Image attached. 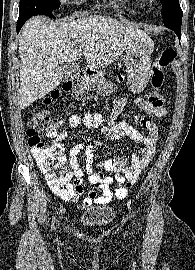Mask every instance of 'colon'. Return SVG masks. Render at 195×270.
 Returning <instances> with one entry per match:
<instances>
[{"label": "colon", "instance_id": "1", "mask_svg": "<svg viewBox=\"0 0 195 270\" xmlns=\"http://www.w3.org/2000/svg\"><path fill=\"white\" fill-rule=\"evenodd\" d=\"M177 57V53L173 48H165L161 51L152 65L151 85L154 89H160L164 83V69L171 65ZM63 90L71 92L73 97L78 100H88L90 98L89 88L84 80L80 77L64 85ZM61 93L55 91L46 99L45 104H50ZM164 98L158 92L149 93L143 98V103L137 108L140 110H151L162 106ZM58 131V126L53 122L47 111L39 110L31 114L27 123L26 134L28 143L31 147L32 154L45 174L50 188L57 194H68L72 190L71 176L66 169V159L64 156V146L59 142H45L39 133H45L49 137H54ZM134 183L129 180L126 188H130Z\"/></svg>", "mask_w": 195, "mask_h": 270}]
</instances>
